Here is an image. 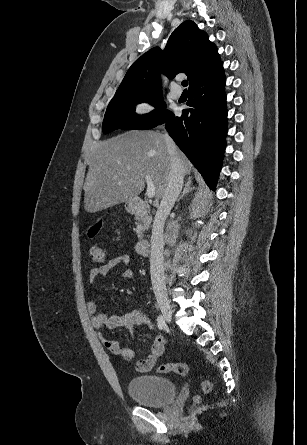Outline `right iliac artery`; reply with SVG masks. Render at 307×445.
<instances>
[{
  "label": "right iliac artery",
  "mask_w": 307,
  "mask_h": 445,
  "mask_svg": "<svg viewBox=\"0 0 307 445\" xmlns=\"http://www.w3.org/2000/svg\"><path fill=\"white\" fill-rule=\"evenodd\" d=\"M157 325L159 329H163L165 327V321L161 315L157 318Z\"/></svg>",
  "instance_id": "1"
}]
</instances>
